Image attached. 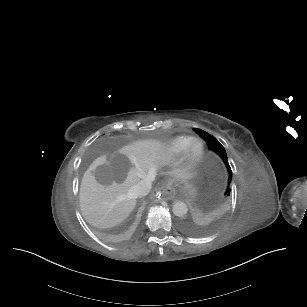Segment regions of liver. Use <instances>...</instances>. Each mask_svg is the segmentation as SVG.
<instances>
[{
	"instance_id": "obj_1",
	"label": "liver",
	"mask_w": 307,
	"mask_h": 307,
	"mask_svg": "<svg viewBox=\"0 0 307 307\" xmlns=\"http://www.w3.org/2000/svg\"><path fill=\"white\" fill-rule=\"evenodd\" d=\"M169 160L162 145L138 141L96 160L85 172L80 187V207L93 226L108 228L121 223L133 210L136 197L131 190ZM179 178L186 179L184 174Z\"/></svg>"
}]
</instances>
